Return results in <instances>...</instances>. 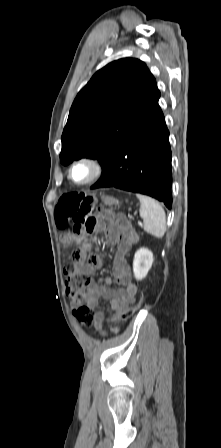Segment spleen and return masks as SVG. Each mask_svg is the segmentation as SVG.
<instances>
[{
  "label": "spleen",
  "mask_w": 221,
  "mask_h": 448,
  "mask_svg": "<svg viewBox=\"0 0 221 448\" xmlns=\"http://www.w3.org/2000/svg\"><path fill=\"white\" fill-rule=\"evenodd\" d=\"M140 201V216L144 221V231L156 238L166 232V215L162 206L153 198L137 194Z\"/></svg>",
  "instance_id": "spleen-1"
}]
</instances>
